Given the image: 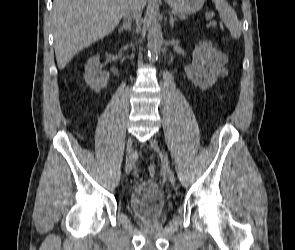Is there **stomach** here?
Returning a JSON list of instances; mask_svg holds the SVG:
<instances>
[{
	"mask_svg": "<svg viewBox=\"0 0 295 250\" xmlns=\"http://www.w3.org/2000/svg\"><path fill=\"white\" fill-rule=\"evenodd\" d=\"M166 3L175 11L182 14H192L199 11L205 0H165Z\"/></svg>",
	"mask_w": 295,
	"mask_h": 250,
	"instance_id": "obj_1",
	"label": "stomach"
}]
</instances>
